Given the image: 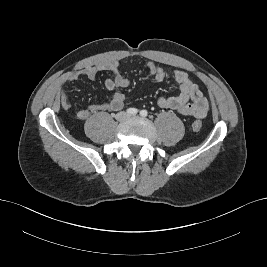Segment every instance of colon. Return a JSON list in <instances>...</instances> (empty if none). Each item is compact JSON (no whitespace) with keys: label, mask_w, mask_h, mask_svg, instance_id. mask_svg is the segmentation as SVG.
<instances>
[{"label":"colon","mask_w":267,"mask_h":267,"mask_svg":"<svg viewBox=\"0 0 267 267\" xmlns=\"http://www.w3.org/2000/svg\"><path fill=\"white\" fill-rule=\"evenodd\" d=\"M201 128H202V123H201V121L196 120V121L193 122V124H192V129H193L195 132L200 131Z\"/></svg>","instance_id":"1"}]
</instances>
